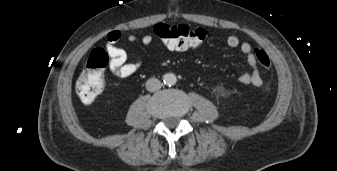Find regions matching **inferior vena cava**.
<instances>
[{
  "mask_svg": "<svg viewBox=\"0 0 337 171\" xmlns=\"http://www.w3.org/2000/svg\"><path fill=\"white\" fill-rule=\"evenodd\" d=\"M162 87V83L157 78H150L146 81V89L150 92H155Z\"/></svg>",
  "mask_w": 337,
  "mask_h": 171,
  "instance_id": "1",
  "label": "inferior vena cava"
}]
</instances>
